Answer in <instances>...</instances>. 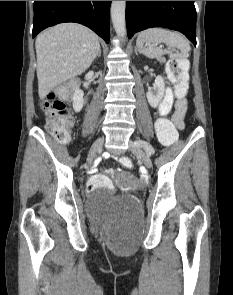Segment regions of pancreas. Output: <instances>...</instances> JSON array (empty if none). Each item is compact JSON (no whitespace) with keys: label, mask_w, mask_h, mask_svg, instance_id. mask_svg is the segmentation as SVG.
Returning a JSON list of instances; mask_svg holds the SVG:
<instances>
[{"label":"pancreas","mask_w":233,"mask_h":295,"mask_svg":"<svg viewBox=\"0 0 233 295\" xmlns=\"http://www.w3.org/2000/svg\"><path fill=\"white\" fill-rule=\"evenodd\" d=\"M158 61H159L160 63H164V62H165V58H164V57H159V58H158Z\"/></svg>","instance_id":"1"}]
</instances>
